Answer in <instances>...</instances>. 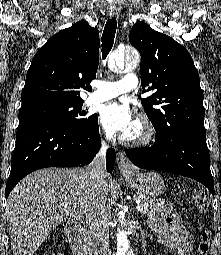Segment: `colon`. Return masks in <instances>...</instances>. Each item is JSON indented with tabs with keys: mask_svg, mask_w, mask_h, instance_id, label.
Wrapping results in <instances>:
<instances>
[{
	"mask_svg": "<svg viewBox=\"0 0 221 255\" xmlns=\"http://www.w3.org/2000/svg\"><path fill=\"white\" fill-rule=\"evenodd\" d=\"M194 203L201 212H206L208 209V199L204 193H197L194 196ZM209 251V235L207 232H202L198 242V252L200 255H208Z\"/></svg>",
	"mask_w": 221,
	"mask_h": 255,
	"instance_id": "1",
	"label": "colon"
}]
</instances>
